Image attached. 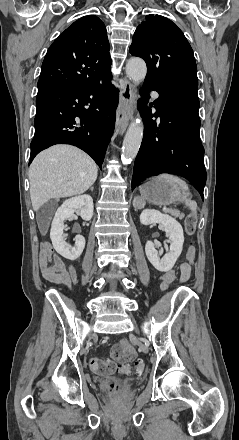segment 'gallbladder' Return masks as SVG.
Listing matches in <instances>:
<instances>
[{
  "label": "gallbladder",
  "instance_id": "obj_1",
  "mask_svg": "<svg viewBox=\"0 0 239 440\" xmlns=\"http://www.w3.org/2000/svg\"><path fill=\"white\" fill-rule=\"evenodd\" d=\"M41 212H44V208H41V210H39L38 214H37V222H38V226L39 228H41Z\"/></svg>",
  "mask_w": 239,
  "mask_h": 440
}]
</instances>
